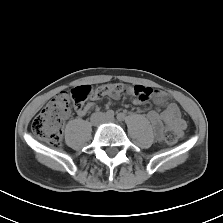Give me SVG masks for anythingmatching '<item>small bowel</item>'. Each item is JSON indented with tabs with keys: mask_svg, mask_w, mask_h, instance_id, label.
I'll return each instance as SVG.
<instances>
[{
	"mask_svg": "<svg viewBox=\"0 0 223 223\" xmlns=\"http://www.w3.org/2000/svg\"><path fill=\"white\" fill-rule=\"evenodd\" d=\"M134 104L140 105L142 102L138 99H134ZM155 103L158 106L166 105L164 110H161L160 108H156L154 110H151L147 114V119L152 124L155 134L158 137H161L164 133L165 129H173L177 133L182 134L185 129V122L181 118L180 111L178 107L170 102V101H164L160 99L158 96H155ZM94 107L93 103L86 104L83 109L78 111V114L80 116H84L87 112H89Z\"/></svg>",
	"mask_w": 223,
	"mask_h": 223,
	"instance_id": "1",
	"label": "small bowel"
}]
</instances>
